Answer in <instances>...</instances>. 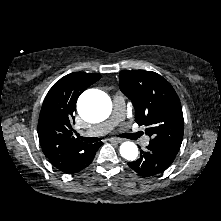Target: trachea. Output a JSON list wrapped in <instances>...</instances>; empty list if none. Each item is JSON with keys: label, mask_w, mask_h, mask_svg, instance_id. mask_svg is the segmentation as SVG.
<instances>
[{"label": "trachea", "mask_w": 221, "mask_h": 221, "mask_svg": "<svg viewBox=\"0 0 221 221\" xmlns=\"http://www.w3.org/2000/svg\"><path fill=\"white\" fill-rule=\"evenodd\" d=\"M141 134H142L141 132L138 133L139 136ZM80 138H81V140H83L85 142H88V143H94V142L100 141V138H97V137H88V138H86V137H81L80 136Z\"/></svg>", "instance_id": "3493384b"}]
</instances>
